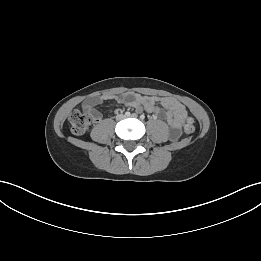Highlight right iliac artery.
<instances>
[{
    "label": "right iliac artery",
    "instance_id": "right-iliac-artery-1",
    "mask_svg": "<svg viewBox=\"0 0 261 261\" xmlns=\"http://www.w3.org/2000/svg\"><path fill=\"white\" fill-rule=\"evenodd\" d=\"M131 115V113L130 112H125V116H127V117H129Z\"/></svg>",
    "mask_w": 261,
    "mask_h": 261
}]
</instances>
